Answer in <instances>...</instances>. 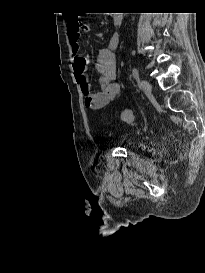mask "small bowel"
I'll return each instance as SVG.
<instances>
[{
    "instance_id": "c3829d8e",
    "label": "small bowel",
    "mask_w": 205,
    "mask_h": 273,
    "mask_svg": "<svg viewBox=\"0 0 205 273\" xmlns=\"http://www.w3.org/2000/svg\"><path fill=\"white\" fill-rule=\"evenodd\" d=\"M79 20H70L67 24L69 43L74 55L73 71L78 85L84 96L85 106L89 109L100 110L106 107L120 92V86L116 82V56L114 50L119 45V37L113 36L109 44L98 50L95 68L99 74V90L92 92L86 75V56L81 51L79 36L82 31L88 30V25L81 28L74 24Z\"/></svg>"
}]
</instances>
